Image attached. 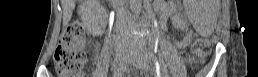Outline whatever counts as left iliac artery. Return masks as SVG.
<instances>
[{
	"mask_svg": "<svg viewBox=\"0 0 258 77\" xmlns=\"http://www.w3.org/2000/svg\"><path fill=\"white\" fill-rule=\"evenodd\" d=\"M157 51H155V53H156ZM146 56H150V54H146ZM161 62V61H160Z\"/></svg>",
	"mask_w": 258,
	"mask_h": 77,
	"instance_id": "1",
	"label": "left iliac artery"
}]
</instances>
